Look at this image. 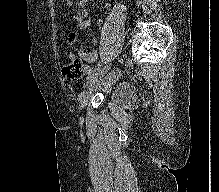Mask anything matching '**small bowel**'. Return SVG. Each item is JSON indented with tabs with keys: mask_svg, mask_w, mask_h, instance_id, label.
Wrapping results in <instances>:
<instances>
[{
	"mask_svg": "<svg viewBox=\"0 0 219 192\" xmlns=\"http://www.w3.org/2000/svg\"><path fill=\"white\" fill-rule=\"evenodd\" d=\"M88 0H79L77 10L73 13L72 17L77 23L79 29H86L91 25L92 16L90 12L86 9V4ZM90 42L95 45L98 43V38L96 36L90 37ZM78 55L83 57L87 62H96L98 59L97 52L94 49H88L86 51H78ZM85 70L89 71L90 66L85 65Z\"/></svg>",
	"mask_w": 219,
	"mask_h": 192,
	"instance_id": "1",
	"label": "small bowel"
}]
</instances>
